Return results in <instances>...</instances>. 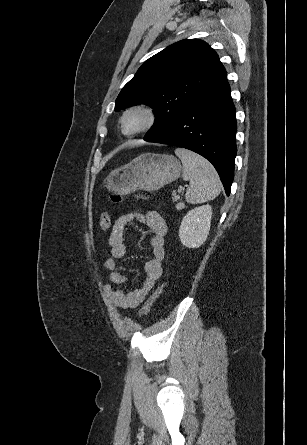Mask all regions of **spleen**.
<instances>
[{
  "instance_id": "1",
  "label": "spleen",
  "mask_w": 307,
  "mask_h": 445,
  "mask_svg": "<svg viewBox=\"0 0 307 445\" xmlns=\"http://www.w3.org/2000/svg\"><path fill=\"white\" fill-rule=\"evenodd\" d=\"M175 154L182 160L183 180H190L185 194L187 202L198 204L216 198L222 184L211 162L187 148H176Z\"/></svg>"
}]
</instances>
